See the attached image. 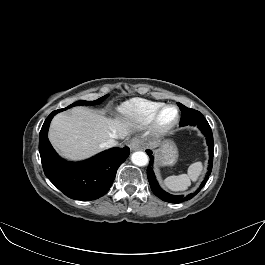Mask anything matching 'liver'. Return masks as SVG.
Masks as SVG:
<instances>
[{
    "label": "liver",
    "mask_w": 265,
    "mask_h": 265,
    "mask_svg": "<svg viewBox=\"0 0 265 265\" xmlns=\"http://www.w3.org/2000/svg\"><path fill=\"white\" fill-rule=\"evenodd\" d=\"M129 133L130 124L125 120L75 107L54 117L49 140L62 156L81 160L100 152L108 139L125 138Z\"/></svg>",
    "instance_id": "liver-1"
}]
</instances>
